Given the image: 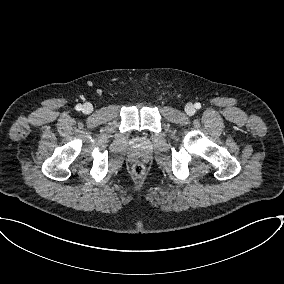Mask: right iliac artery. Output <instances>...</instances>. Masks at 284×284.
<instances>
[{
  "label": "right iliac artery",
  "mask_w": 284,
  "mask_h": 284,
  "mask_svg": "<svg viewBox=\"0 0 284 284\" xmlns=\"http://www.w3.org/2000/svg\"><path fill=\"white\" fill-rule=\"evenodd\" d=\"M75 109H76L77 111H80V110L82 109V105H81V104H77L76 107H75Z\"/></svg>",
  "instance_id": "1"
}]
</instances>
